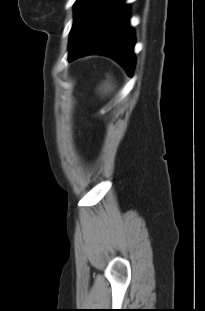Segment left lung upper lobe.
<instances>
[{"label": "left lung upper lobe", "mask_w": 205, "mask_h": 311, "mask_svg": "<svg viewBox=\"0 0 205 311\" xmlns=\"http://www.w3.org/2000/svg\"><path fill=\"white\" fill-rule=\"evenodd\" d=\"M120 0H77L74 24L70 32L69 50L77 47L114 11Z\"/></svg>", "instance_id": "5c2ea615"}]
</instances>
